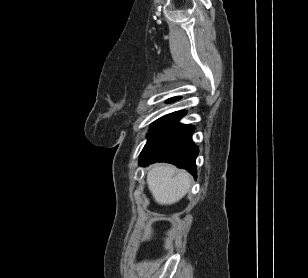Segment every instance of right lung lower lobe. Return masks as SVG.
Masks as SVG:
<instances>
[{
    "label": "right lung lower lobe",
    "mask_w": 308,
    "mask_h": 278,
    "mask_svg": "<svg viewBox=\"0 0 308 278\" xmlns=\"http://www.w3.org/2000/svg\"><path fill=\"white\" fill-rule=\"evenodd\" d=\"M180 118L148 140L140 154L139 164L164 161L187 169L196 178L195 159L199 150L192 141L194 127L178 123Z\"/></svg>",
    "instance_id": "98d812e1"
}]
</instances>
